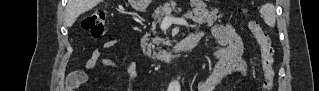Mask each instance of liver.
<instances>
[{
	"label": "liver",
	"mask_w": 319,
	"mask_h": 91,
	"mask_svg": "<svg viewBox=\"0 0 319 91\" xmlns=\"http://www.w3.org/2000/svg\"><path fill=\"white\" fill-rule=\"evenodd\" d=\"M100 0H69L67 6L68 25L71 26L77 17L94 8Z\"/></svg>",
	"instance_id": "liver-1"
}]
</instances>
